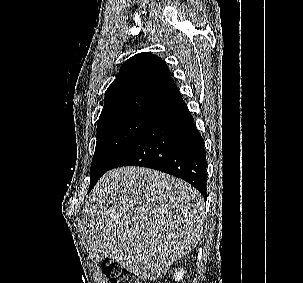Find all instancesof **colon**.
Wrapping results in <instances>:
<instances>
[{
  "label": "colon",
  "mask_w": 303,
  "mask_h": 283,
  "mask_svg": "<svg viewBox=\"0 0 303 283\" xmlns=\"http://www.w3.org/2000/svg\"><path fill=\"white\" fill-rule=\"evenodd\" d=\"M102 269L110 283H142L140 280L129 276L115 261L104 260Z\"/></svg>",
  "instance_id": "1"
}]
</instances>
